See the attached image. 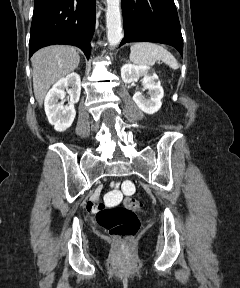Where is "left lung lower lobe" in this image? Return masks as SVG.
Instances as JSON below:
<instances>
[{
	"instance_id": "0a47b994",
	"label": "left lung lower lobe",
	"mask_w": 240,
	"mask_h": 288,
	"mask_svg": "<svg viewBox=\"0 0 240 288\" xmlns=\"http://www.w3.org/2000/svg\"><path fill=\"white\" fill-rule=\"evenodd\" d=\"M127 42L149 41L175 47L183 56V39L173 0H122Z\"/></svg>"
}]
</instances>
